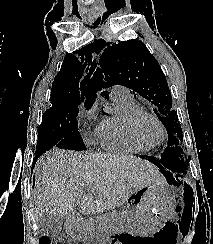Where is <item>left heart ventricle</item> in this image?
Instances as JSON below:
<instances>
[{
  "mask_svg": "<svg viewBox=\"0 0 213 244\" xmlns=\"http://www.w3.org/2000/svg\"><path fill=\"white\" fill-rule=\"evenodd\" d=\"M140 132L146 140L152 143L158 142L162 136L159 126L151 119H144L141 122Z\"/></svg>",
  "mask_w": 213,
  "mask_h": 244,
  "instance_id": "obj_1",
  "label": "left heart ventricle"
}]
</instances>
